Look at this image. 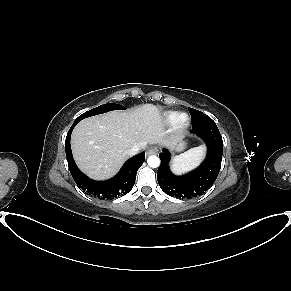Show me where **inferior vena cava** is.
Listing matches in <instances>:
<instances>
[{"instance_id":"1","label":"inferior vena cava","mask_w":291,"mask_h":291,"mask_svg":"<svg viewBox=\"0 0 291 291\" xmlns=\"http://www.w3.org/2000/svg\"><path fill=\"white\" fill-rule=\"evenodd\" d=\"M140 149H141L140 146L135 145L128 151V155L133 156L137 154L140 151Z\"/></svg>"}]
</instances>
